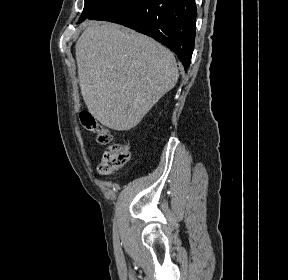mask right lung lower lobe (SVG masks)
Instances as JSON below:
<instances>
[{
    "label": "right lung lower lobe",
    "instance_id": "right-lung-lower-lobe-1",
    "mask_svg": "<svg viewBox=\"0 0 288 280\" xmlns=\"http://www.w3.org/2000/svg\"><path fill=\"white\" fill-rule=\"evenodd\" d=\"M195 0H112L89 19L111 21L161 42L187 70L191 63L196 29Z\"/></svg>",
    "mask_w": 288,
    "mask_h": 280
}]
</instances>
